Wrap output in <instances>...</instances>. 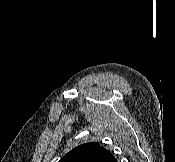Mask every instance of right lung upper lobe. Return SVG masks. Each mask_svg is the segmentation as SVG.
<instances>
[{
	"label": "right lung upper lobe",
	"mask_w": 175,
	"mask_h": 162,
	"mask_svg": "<svg viewBox=\"0 0 175 162\" xmlns=\"http://www.w3.org/2000/svg\"><path fill=\"white\" fill-rule=\"evenodd\" d=\"M59 162H116V159L99 143L89 142L72 149Z\"/></svg>",
	"instance_id": "right-lung-upper-lobe-1"
}]
</instances>
